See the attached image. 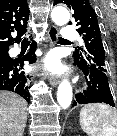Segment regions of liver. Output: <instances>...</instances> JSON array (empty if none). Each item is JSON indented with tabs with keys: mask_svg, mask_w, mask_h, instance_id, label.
<instances>
[{
	"mask_svg": "<svg viewBox=\"0 0 117 136\" xmlns=\"http://www.w3.org/2000/svg\"><path fill=\"white\" fill-rule=\"evenodd\" d=\"M27 102L19 95L0 91V136H23Z\"/></svg>",
	"mask_w": 117,
	"mask_h": 136,
	"instance_id": "liver-1",
	"label": "liver"
}]
</instances>
